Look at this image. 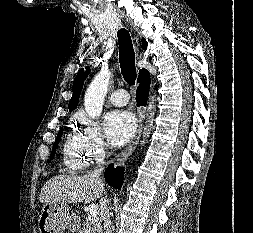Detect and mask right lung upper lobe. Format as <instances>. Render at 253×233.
Instances as JSON below:
<instances>
[{
  "instance_id": "obj_1",
  "label": "right lung upper lobe",
  "mask_w": 253,
  "mask_h": 233,
  "mask_svg": "<svg viewBox=\"0 0 253 233\" xmlns=\"http://www.w3.org/2000/svg\"><path fill=\"white\" fill-rule=\"evenodd\" d=\"M141 47L143 49L147 48V42L144 38H142ZM143 71H145V69H141L139 71V75H141ZM89 72H90V69L88 67L86 68V71H84V69H81L78 72L77 76L75 77V80L73 82V95L68 105V108L70 111L74 110L78 105L81 89H82L84 80L88 76Z\"/></svg>"
}]
</instances>
